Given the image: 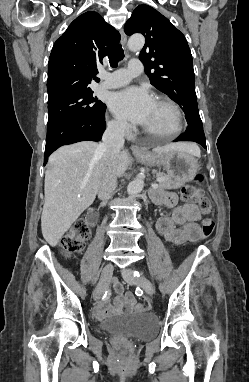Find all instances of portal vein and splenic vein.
<instances>
[{"mask_svg":"<svg viewBox=\"0 0 249 382\" xmlns=\"http://www.w3.org/2000/svg\"><path fill=\"white\" fill-rule=\"evenodd\" d=\"M164 180H165L164 178H157V182H162ZM151 186H152V188H158V184L157 183H152Z\"/></svg>","mask_w":249,"mask_h":382,"instance_id":"18ae733b","label":"portal vein and splenic vein"}]
</instances>
